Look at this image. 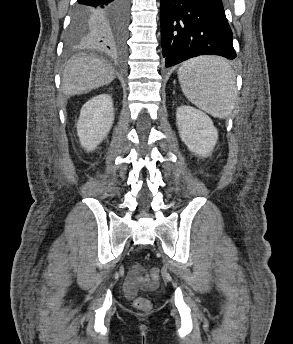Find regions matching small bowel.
<instances>
[{
	"mask_svg": "<svg viewBox=\"0 0 293 344\" xmlns=\"http://www.w3.org/2000/svg\"><path fill=\"white\" fill-rule=\"evenodd\" d=\"M123 290L127 297H133L136 293L137 286L130 274L126 278Z\"/></svg>",
	"mask_w": 293,
	"mask_h": 344,
	"instance_id": "c3829d8e",
	"label": "small bowel"
}]
</instances>
